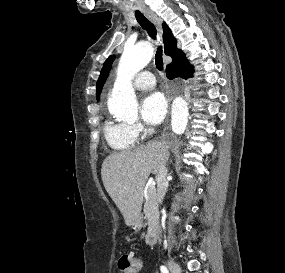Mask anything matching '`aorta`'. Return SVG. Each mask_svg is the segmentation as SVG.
Listing matches in <instances>:
<instances>
[{
  "instance_id": "obj_1",
  "label": "aorta",
  "mask_w": 285,
  "mask_h": 273,
  "mask_svg": "<svg viewBox=\"0 0 285 273\" xmlns=\"http://www.w3.org/2000/svg\"><path fill=\"white\" fill-rule=\"evenodd\" d=\"M153 47L148 42L126 46L117 68V78L107 105L109 112L119 119H135L138 105L131 80L153 57ZM188 108L182 97H177L172 104V130L182 134L187 125Z\"/></svg>"
}]
</instances>
